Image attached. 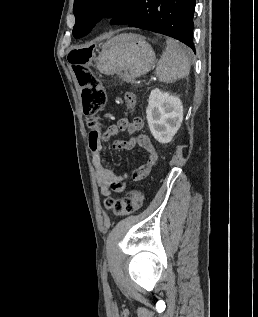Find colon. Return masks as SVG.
<instances>
[{
	"instance_id": "5ec220e1",
	"label": "colon",
	"mask_w": 258,
	"mask_h": 317,
	"mask_svg": "<svg viewBox=\"0 0 258 317\" xmlns=\"http://www.w3.org/2000/svg\"><path fill=\"white\" fill-rule=\"evenodd\" d=\"M93 52L92 47L74 48L69 52L68 61L81 88L83 112L88 117L90 128L95 131L99 125L96 114L106 104V92L101 82L88 68ZM125 103L128 109L134 107L135 99L131 93L125 94ZM143 202L142 192L135 190L121 199L108 197L104 204L107 210L116 216L123 217L138 211Z\"/></svg>"
}]
</instances>
